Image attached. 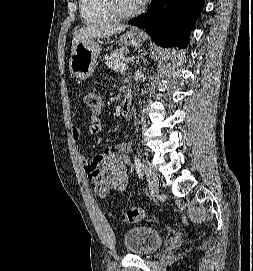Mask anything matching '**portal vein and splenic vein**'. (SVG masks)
<instances>
[{
	"instance_id": "1",
	"label": "portal vein and splenic vein",
	"mask_w": 253,
	"mask_h": 271,
	"mask_svg": "<svg viewBox=\"0 0 253 271\" xmlns=\"http://www.w3.org/2000/svg\"><path fill=\"white\" fill-rule=\"evenodd\" d=\"M117 69H119L121 71H125L128 69V66L126 64H120L117 66Z\"/></svg>"
}]
</instances>
